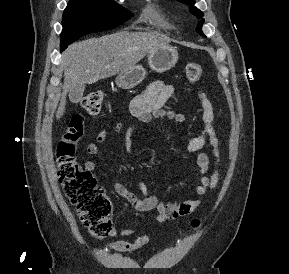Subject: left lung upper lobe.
Returning <instances> with one entry per match:
<instances>
[{"instance_id": "obj_1", "label": "left lung upper lobe", "mask_w": 289, "mask_h": 274, "mask_svg": "<svg viewBox=\"0 0 289 274\" xmlns=\"http://www.w3.org/2000/svg\"><path fill=\"white\" fill-rule=\"evenodd\" d=\"M177 1H179V2H181V3H184V4H186V5H190V9H189L190 12H191L193 15H195L197 18L200 19V18L203 17V13L194 6L195 0H177ZM203 22H204V20L202 19V20L198 23V28H197V32H198V34H200L201 36H205V35L203 34L202 30H201V27H202V25H203Z\"/></svg>"}]
</instances>
